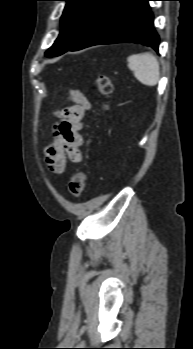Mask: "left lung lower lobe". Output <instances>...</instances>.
Instances as JSON below:
<instances>
[{
    "label": "left lung lower lobe",
    "instance_id": "1",
    "mask_svg": "<svg viewBox=\"0 0 193 349\" xmlns=\"http://www.w3.org/2000/svg\"><path fill=\"white\" fill-rule=\"evenodd\" d=\"M151 0H110L70 51L100 44L134 42L158 52L159 36L149 11Z\"/></svg>",
    "mask_w": 193,
    "mask_h": 349
}]
</instances>
